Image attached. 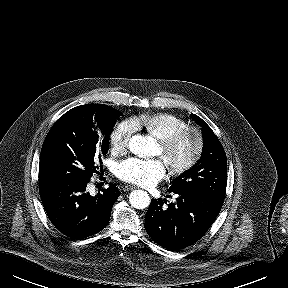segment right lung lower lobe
<instances>
[{"instance_id":"right-lung-lower-lobe-1","label":"right lung lower lobe","mask_w":288,"mask_h":288,"mask_svg":"<svg viewBox=\"0 0 288 288\" xmlns=\"http://www.w3.org/2000/svg\"><path fill=\"white\" fill-rule=\"evenodd\" d=\"M88 182H40L39 192L44 209L53 225L66 236L83 239L109 223L113 204L120 192L110 183L102 193L91 196Z\"/></svg>"}]
</instances>
